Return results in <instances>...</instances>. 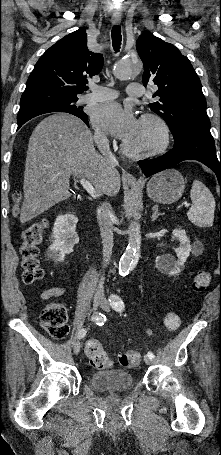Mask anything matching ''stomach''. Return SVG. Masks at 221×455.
<instances>
[{"instance_id": "stomach-1", "label": "stomach", "mask_w": 221, "mask_h": 455, "mask_svg": "<svg viewBox=\"0 0 221 455\" xmlns=\"http://www.w3.org/2000/svg\"><path fill=\"white\" fill-rule=\"evenodd\" d=\"M185 189L182 174L175 169L162 171L148 181L147 194L154 202L172 204L178 201Z\"/></svg>"}]
</instances>
